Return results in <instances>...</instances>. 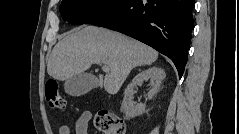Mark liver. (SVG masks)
Instances as JSON below:
<instances>
[{
    "mask_svg": "<svg viewBox=\"0 0 239 134\" xmlns=\"http://www.w3.org/2000/svg\"><path fill=\"white\" fill-rule=\"evenodd\" d=\"M157 58L156 50L137 40L102 27L84 26L54 46L47 72L63 81L84 73L92 64H107L110 72L99 75L97 84L116 94L134 67L152 64Z\"/></svg>",
    "mask_w": 239,
    "mask_h": 134,
    "instance_id": "1",
    "label": "liver"
}]
</instances>
